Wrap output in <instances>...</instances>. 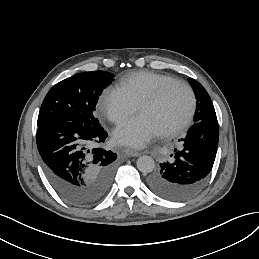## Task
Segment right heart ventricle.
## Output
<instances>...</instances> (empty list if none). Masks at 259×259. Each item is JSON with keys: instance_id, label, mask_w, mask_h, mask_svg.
I'll return each mask as SVG.
<instances>
[{"instance_id": "right-heart-ventricle-1", "label": "right heart ventricle", "mask_w": 259, "mask_h": 259, "mask_svg": "<svg viewBox=\"0 0 259 259\" xmlns=\"http://www.w3.org/2000/svg\"><path fill=\"white\" fill-rule=\"evenodd\" d=\"M174 79L171 75L155 72H136L123 77L117 89L137 105L156 93L160 85Z\"/></svg>"}]
</instances>
